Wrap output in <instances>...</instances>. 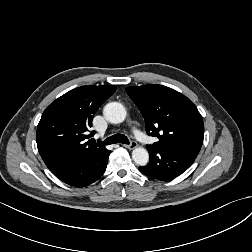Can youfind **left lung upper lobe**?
<instances>
[{"mask_svg":"<svg viewBox=\"0 0 252 252\" xmlns=\"http://www.w3.org/2000/svg\"><path fill=\"white\" fill-rule=\"evenodd\" d=\"M126 91L141 111L148 135L159 139L147 149L185 150L198 155L203 144V119L186 96L157 84L130 86Z\"/></svg>","mask_w":252,"mask_h":252,"instance_id":"left-lung-upper-lobe-1","label":"left lung upper lobe"}]
</instances>
